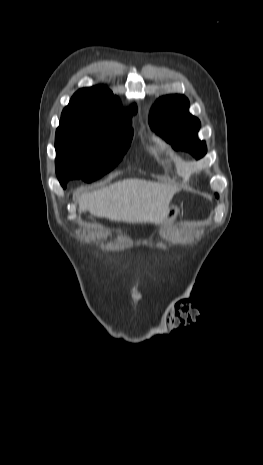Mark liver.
I'll return each instance as SVG.
<instances>
[{
	"label": "liver",
	"mask_w": 263,
	"mask_h": 465,
	"mask_svg": "<svg viewBox=\"0 0 263 465\" xmlns=\"http://www.w3.org/2000/svg\"><path fill=\"white\" fill-rule=\"evenodd\" d=\"M178 188L138 178L124 179L78 196L79 212L111 221L154 223L164 221Z\"/></svg>",
	"instance_id": "obj_1"
}]
</instances>
